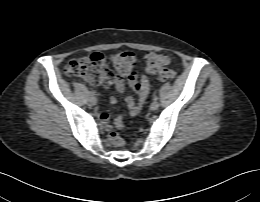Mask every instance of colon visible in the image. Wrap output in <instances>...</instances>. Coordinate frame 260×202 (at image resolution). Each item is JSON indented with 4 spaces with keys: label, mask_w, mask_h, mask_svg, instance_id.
Returning <instances> with one entry per match:
<instances>
[{
    "label": "colon",
    "mask_w": 260,
    "mask_h": 202,
    "mask_svg": "<svg viewBox=\"0 0 260 202\" xmlns=\"http://www.w3.org/2000/svg\"><path fill=\"white\" fill-rule=\"evenodd\" d=\"M133 62L134 56L130 51H118L110 55L94 53L68 61L65 65V73L95 86L109 85L118 77L117 74L128 76ZM168 62L169 57L163 53L150 52L145 56L146 69L156 73L157 79L160 81H168L175 77V72L165 67ZM112 65L117 73L113 70ZM109 138L117 147H123L125 144L124 140L115 132L110 133Z\"/></svg>",
    "instance_id": "obj_1"
}]
</instances>
